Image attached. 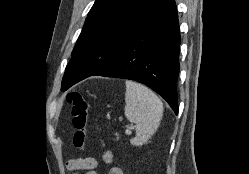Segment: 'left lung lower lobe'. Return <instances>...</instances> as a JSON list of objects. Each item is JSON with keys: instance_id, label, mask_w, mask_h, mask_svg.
Returning <instances> with one entry per match:
<instances>
[{"instance_id": "1", "label": "left lung lower lobe", "mask_w": 249, "mask_h": 174, "mask_svg": "<svg viewBox=\"0 0 249 174\" xmlns=\"http://www.w3.org/2000/svg\"><path fill=\"white\" fill-rule=\"evenodd\" d=\"M179 45L180 29L175 1L166 0L123 49L93 76L143 83L161 95L177 114Z\"/></svg>"}]
</instances>
